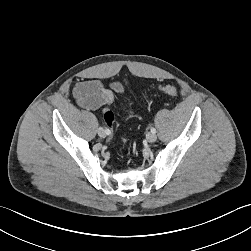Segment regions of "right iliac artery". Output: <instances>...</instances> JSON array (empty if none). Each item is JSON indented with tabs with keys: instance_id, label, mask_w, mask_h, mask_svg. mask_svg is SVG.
Segmentation results:
<instances>
[{
	"instance_id": "obj_1",
	"label": "right iliac artery",
	"mask_w": 251,
	"mask_h": 251,
	"mask_svg": "<svg viewBox=\"0 0 251 251\" xmlns=\"http://www.w3.org/2000/svg\"><path fill=\"white\" fill-rule=\"evenodd\" d=\"M105 132H106L107 135H109L111 133L108 128H105Z\"/></svg>"
}]
</instances>
